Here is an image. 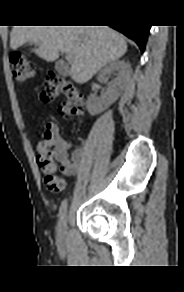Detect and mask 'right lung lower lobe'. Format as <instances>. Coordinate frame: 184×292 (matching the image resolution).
<instances>
[{
	"mask_svg": "<svg viewBox=\"0 0 184 292\" xmlns=\"http://www.w3.org/2000/svg\"><path fill=\"white\" fill-rule=\"evenodd\" d=\"M114 29L120 31L130 39L134 40L143 52L147 42L150 26L148 25H111Z\"/></svg>",
	"mask_w": 184,
	"mask_h": 292,
	"instance_id": "right-lung-lower-lobe-1",
	"label": "right lung lower lobe"
}]
</instances>
